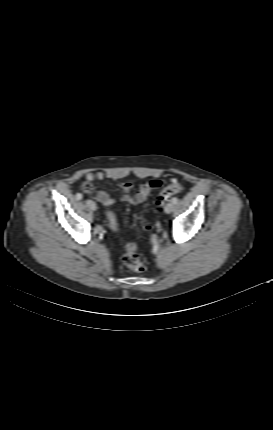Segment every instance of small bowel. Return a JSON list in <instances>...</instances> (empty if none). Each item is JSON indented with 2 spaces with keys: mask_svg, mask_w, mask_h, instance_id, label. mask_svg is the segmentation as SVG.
<instances>
[{
  "mask_svg": "<svg viewBox=\"0 0 273 430\" xmlns=\"http://www.w3.org/2000/svg\"><path fill=\"white\" fill-rule=\"evenodd\" d=\"M106 177V174L102 171L97 172H88L86 174V179L88 181L93 180H103ZM163 184V181L160 179H153L149 182H146L144 184H141L138 186L135 194L131 195L130 193L134 190L135 186L131 182H124L120 184V188L125 193L121 197V201L132 204V205H138L143 203L147 197L156 189L160 188ZM96 199L104 206L109 207L112 206L115 203V199L111 197L106 191L100 190L96 194Z\"/></svg>",
  "mask_w": 273,
  "mask_h": 430,
  "instance_id": "1",
  "label": "small bowel"
}]
</instances>
